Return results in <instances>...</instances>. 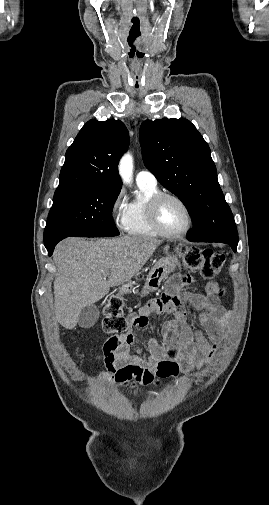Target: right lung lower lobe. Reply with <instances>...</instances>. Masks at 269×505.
I'll list each match as a JSON object with an SVG mask.
<instances>
[{
	"label": "right lung lower lobe",
	"mask_w": 269,
	"mask_h": 505,
	"mask_svg": "<svg viewBox=\"0 0 269 505\" xmlns=\"http://www.w3.org/2000/svg\"><path fill=\"white\" fill-rule=\"evenodd\" d=\"M62 239H64V238H59V239H56V240H54V241H52V242H50V243L45 244V247H46V248H47V250H48L49 256H51V255H52L53 250H54V247H55V246H56V244H57L59 241H61Z\"/></svg>",
	"instance_id": "98d812e1"
}]
</instances>
